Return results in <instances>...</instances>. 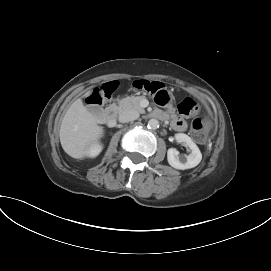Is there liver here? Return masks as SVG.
I'll list each match as a JSON object with an SVG mask.
<instances>
[{
	"label": "liver",
	"instance_id": "obj_1",
	"mask_svg": "<svg viewBox=\"0 0 271 271\" xmlns=\"http://www.w3.org/2000/svg\"><path fill=\"white\" fill-rule=\"evenodd\" d=\"M91 93L92 91H88L84 96L87 97ZM59 136L62 148L69 156L83 159L103 136V128L78 98L64 115Z\"/></svg>",
	"mask_w": 271,
	"mask_h": 271
}]
</instances>
